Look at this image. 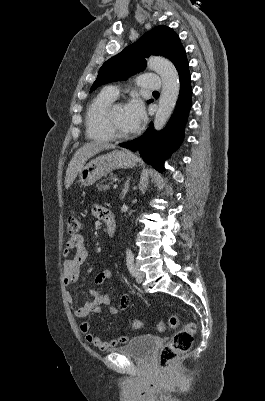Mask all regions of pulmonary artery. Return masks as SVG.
<instances>
[{
	"label": "pulmonary artery",
	"instance_id": "obj_1",
	"mask_svg": "<svg viewBox=\"0 0 265 401\" xmlns=\"http://www.w3.org/2000/svg\"><path fill=\"white\" fill-rule=\"evenodd\" d=\"M142 80L144 81V87L146 90H159L162 87L163 77L161 75H150L148 72H144L141 75ZM110 94L117 97L118 89L110 88L108 89Z\"/></svg>",
	"mask_w": 265,
	"mask_h": 401
}]
</instances>
